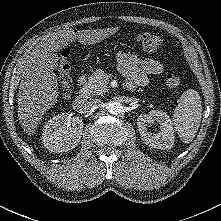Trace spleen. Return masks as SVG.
<instances>
[{"instance_id": "obj_1", "label": "spleen", "mask_w": 221, "mask_h": 221, "mask_svg": "<svg viewBox=\"0 0 221 221\" xmlns=\"http://www.w3.org/2000/svg\"><path fill=\"white\" fill-rule=\"evenodd\" d=\"M202 117V103L199 93L194 89L186 90L174 109L173 125L184 143L194 139Z\"/></svg>"}]
</instances>
